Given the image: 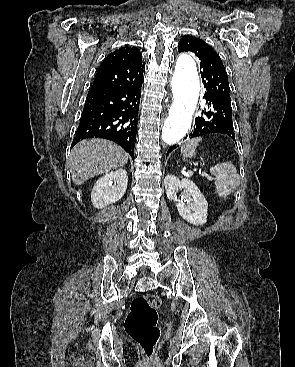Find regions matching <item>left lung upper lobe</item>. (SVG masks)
<instances>
[{
    "label": "left lung upper lobe",
    "instance_id": "obj_1",
    "mask_svg": "<svg viewBox=\"0 0 295 367\" xmlns=\"http://www.w3.org/2000/svg\"><path fill=\"white\" fill-rule=\"evenodd\" d=\"M178 51H191L199 58L206 92L230 96L228 76L222 60L206 42L193 36H183L178 44Z\"/></svg>",
    "mask_w": 295,
    "mask_h": 367
}]
</instances>
